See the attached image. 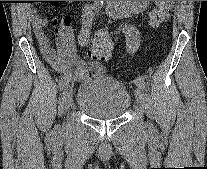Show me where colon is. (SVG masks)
Listing matches in <instances>:
<instances>
[{"label": "colon", "mask_w": 207, "mask_h": 169, "mask_svg": "<svg viewBox=\"0 0 207 169\" xmlns=\"http://www.w3.org/2000/svg\"><path fill=\"white\" fill-rule=\"evenodd\" d=\"M174 1H155V6L150 12L149 22L152 27H158L171 13ZM112 51L110 35L105 31L98 32L89 50V56L93 61L104 62L109 59Z\"/></svg>", "instance_id": "1"}]
</instances>
